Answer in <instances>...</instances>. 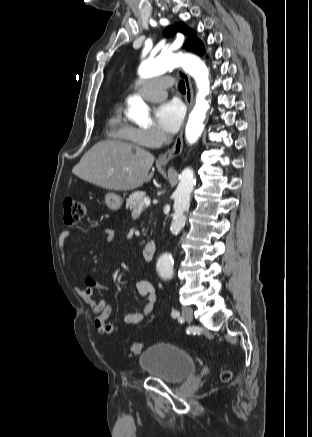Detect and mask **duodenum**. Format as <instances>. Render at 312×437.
Masks as SVG:
<instances>
[{"mask_svg": "<svg viewBox=\"0 0 312 437\" xmlns=\"http://www.w3.org/2000/svg\"><path fill=\"white\" fill-rule=\"evenodd\" d=\"M155 251V244L153 241L147 242L143 247V258L145 261H151Z\"/></svg>", "mask_w": 312, "mask_h": 437, "instance_id": "1", "label": "duodenum"}]
</instances>
